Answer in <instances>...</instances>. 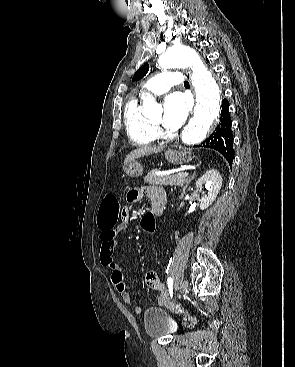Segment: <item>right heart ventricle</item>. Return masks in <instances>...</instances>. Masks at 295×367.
I'll return each instance as SVG.
<instances>
[{"label":"right heart ventricle","mask_w":295,"mask_h":367,"mask_svg":"<svg viewBox=\"0 0 295 367\" xmlns=\"http://www.w3.org/2000/svg\"><path fill=\"white\" fill-rule=\"evenodd\" d=\"M123 119L127 135L136 145L146 146L156 140L157 132L143 115L141 104L136 99L126 104Z\"/></svg>","instance_id":"right-heart-ventricle-1"}]
</instances>
